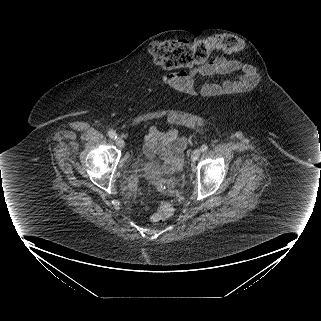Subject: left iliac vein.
<instances>
[{"label": "left iliac vein", "mask_w": 321, "mask_h": 321, "mask_svg": "<svg viewBox=\"0 0 321 321\" xmlns=\"http://www.w3.org/2000/svg\"><path fill=\"white\" fill-rule=\"evenodd\" d=\"M200 154H201V150L200 149H195L191 154V160L193 162L197 161L199 156H200Z\"/></svg>", "instance_id": "4c4485c4"}]
</instances>
